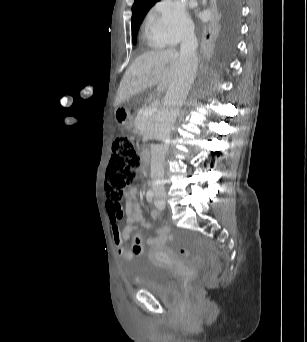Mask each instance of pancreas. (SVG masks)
Masks as SVG:
<instances>
[{"mask_svg": "<svg viewBox=\"0 0 307 342\" xmlns=\"http://www.w3.org/2000/svg\"><path fill=\"white\" fill-rule=\"evenodd\" d=\"M156 120V114H153L151 117L145 116L144 112H138L134 126L136 130H140L142 134L147 136V140L152 138L153 134V122Z\"/></svg>", "mask_w": 307, "mask_h": 342, "instance_id": "1", "label": "pancreas"}]
</instances>
